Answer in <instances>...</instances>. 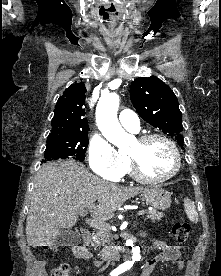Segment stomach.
Returning a JSON list of instances; mask_svg holds the SVG:
<instances>
[{
	"instance_id": "1",
	"label": "stomach",
	"mask_w": 221,
	"mask_h": 276,
	"mask_svg": "<svg viewBox=\"0 0 221 276\" xmlns=\"http://www.w3.org/2000/svg\"><path fill=\"white\" fill-rule=\"evenodd\" d=\"M141 197L155 209L165 210L171 205V194L161 188L148 189Z\"/></svg>"
}]
</instances>
